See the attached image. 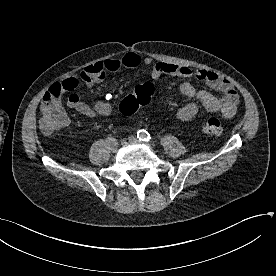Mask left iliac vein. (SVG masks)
Here are the masks:
<instances>
[{
	"mask_svg": "<svg viewBox=\"0 0 276 276\" xmlns=\"http://www.w3.org/2000/svg\"><path fill=\"white\" fill-rule=\"evenodd\" d=\"M128 141H129L130 143H134V144H141V143H142L139 139H137V138L134 137V136H130V137L128 138Z\"/></svg>",
	"mask_w": 276,
	"mask_h": 276,
	"instance_id": "left-iliac-vein-1",
	"label": "left iliac vein"
}]
</instances>
